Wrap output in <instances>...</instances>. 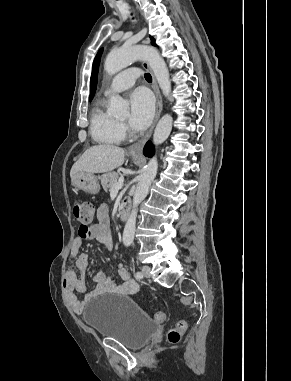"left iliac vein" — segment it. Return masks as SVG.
Masks as SVG:
<instances>
[{"label": "left iliac vein", "mask_w": 291, "mask_h": 381, "mask_svg": "<svg viewBox=\"0 0 291 381\" xmlns=\"http://www.w3.org/2000/svg\"><path fill=\"white\" fill-rule=\"evenodd\" d=\"M141 271H142V274L145 276V277H147V278H149L150 277V267L149 266H143L142 267V269H141Z\"/></svg>", "instance_id": "obj_1"}]
</instances>
